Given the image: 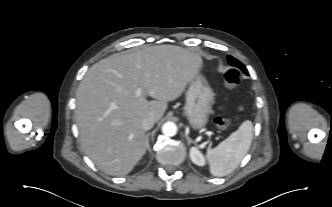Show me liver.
Returning a JSON list of instances; mask_svg holds the SVG:
<instances>
[{
	"instance_id": "6515ba94",
	"label": "liver",
	"mask_w": 332,
	"mask_h": 207,
	"mask_svg": "<svg viewBox=\"0 0 332 207\" xmlns=\"http://www.w3.org/2000/svg\"><path fill=\"white\" fill-rule=\"evenodd\" d=\"M202 67L200 54L175 45L114 54L94 64L76 92L75 118L86 155L108 175L131 172L147 149L143 118L159 121L167 102L180 97Z\"/></svg>"
}]
</instances>
